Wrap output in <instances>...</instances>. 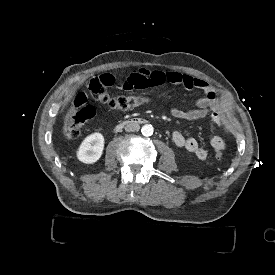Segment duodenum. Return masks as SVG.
<instances>
[{
  "label": "duodenum",
  "mask_w": 275,
  "mask_h": 275,
  "mask_svg": "<svg viewBox=\"0 0 275 275\" xmlns=\"http://www.w3.org/2000/svg\"><path fill=\"white\" fill-rule=\"evenodd\" d=\"M145 120L143 118H128L125 120H122L117 124V127H124L127 125H135V124H143Z\"/></svg>",
  "instance_id": "duodenum-1"
}]
</instances>
